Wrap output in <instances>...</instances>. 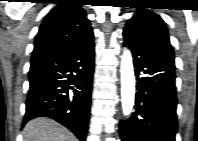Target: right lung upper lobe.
Segmentation results:
<instances>
[{"label":"right lung upper lobe","instance_id":"obj_1","mask_svg":"<svg viewBox=\"0 0 198 141\" xmlns=\"http://www.w3.org/2000/svg\"><path fill=\"white\" fill-rule=\"evenodd\" d=\"M90 32V22L80 4L63 0L43 20L35 39L31 61L68 47Z\"/></svg>","mask_w":198,"mask_h":141}]
</instances>
